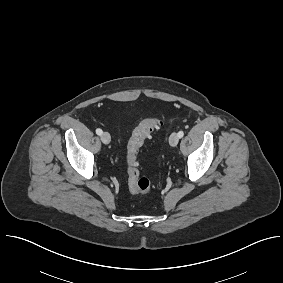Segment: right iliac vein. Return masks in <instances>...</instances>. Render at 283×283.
<instances>
[{
    "instance_id": "1",
    "label": "right iliac vein",
    "mask_w": 283,
    "mask_h": 283,
    "mask_svg": "<svg viewBox=\"0 0 283 283\" xmlns=\"http://www.w3.org/2000/svg\"><path fill=\"white\" fill-rule=\"evenodd\" d=\"M101 140L104 144H109L111 141V136L108 132H104L101 135Z\"/></svg>"
}]
</instances>
